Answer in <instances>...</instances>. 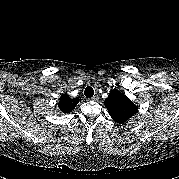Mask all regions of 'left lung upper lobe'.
I'll return each instance as SVG.
<instances>
[{
  "instance_id": "5c2ea615",
  "label": "left lung upper lobe",
  "mask_w": 179,
  "mask_h": 179,
  "mask_svg": "<svg viewBox=\"0 0 179 179\" xmlns=\"http://www.w3.org/2000/svg\"><path fill=\"white\" fill-rule=\"evenodd\" d=\"M104 105L112 119L119 124L127 122L138 112V107L124 93L116 89L110 92Z\"/></svg>"
}]
</instances>
